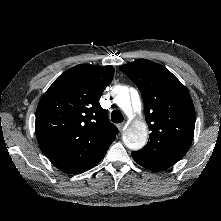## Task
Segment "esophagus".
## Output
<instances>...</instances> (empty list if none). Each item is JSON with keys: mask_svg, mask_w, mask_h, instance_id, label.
Wrapping results in <instances>:
<instances>
[{"mask_svg": "<svg viewBox=\"0 0 221 221\" xmlns=\"http://www.w3.org/2000/svg\"><path fill=\"white\" fill-rule=\"evenodd\" d=\"M125 125H126L125 123H120V124L117 125V127L122 132L125 128Z\"/></svg>", "mask_w": 221, "mask_h": 221, "instance_id": "esophagus-1", "label": "esophagus"}]
</instances>
